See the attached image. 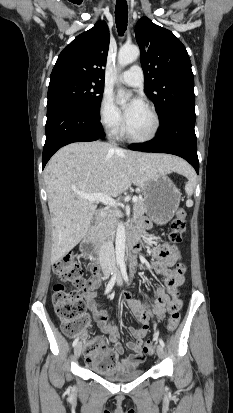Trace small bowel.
Masks as SVG:
<instances>
[{
  "instance_id": "c3829d8e",
  "label": "small bowel",
  "mask_w": 233,
  "mask_h": 413,
  "mask_svg": "<svg viewBox=\"0 0 233 413\" xmlns=\"http://www.w3.org/2000/svg\"><path fill=\"white\" fill-rule=\"evenodd\" d=\"M138 229H144L149 226V222L141 220L137 224ZM152 265L155 271L164 277L165 288L156 287L155 298L153 303H142L131 297L130 293L120 295V299L126 304L134 318L141 323L138 329L129 328V333L135 338V341L127 343V348L133 354L128 358L117 360V370L137 368L144 360L145 352L143 349V338L149 330L150 319L161 320L167 311L181 307L178 288L184 282V272L186 270L183 264L177 265V256L171 253L165 244L159 245L152 251ZM98 280H92L90 286L84 290V299L93 312L94 319L101 330L107 335V346L112 344V350L118 359V355L124 352L122 344L119 342V330L113 319L95 301V290L98 286Z\"/></svg>"
}]
</instances>
